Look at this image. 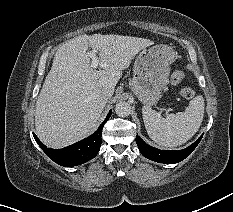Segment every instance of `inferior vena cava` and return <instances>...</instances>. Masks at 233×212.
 <instances>
[{"label":"inferior vena cava","instance_id":"1","mask_svg":"<svg viewBox=\"0 0 233 212\" xmlns=\"http://www.w3.org/2000/svg\"><path fill=\"white\" fill-rule=\"evenodd\" d=\"M100 92L101 95L104 96L105 98H110L113 94V91L107 87L102 88Z\"/></svg>","mask_w":233,"mask_h":212}]
</instances>
